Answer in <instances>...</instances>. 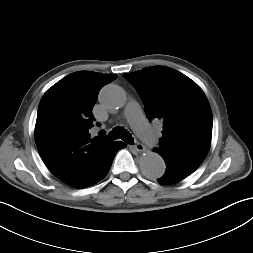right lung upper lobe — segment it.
<instances>
[{
    "instance_id": "right-lung-upper-lobe-1",
    "label": "right lung upper lobe",
    "mask_w": 253,
    "mask_h": 253,
    "mask_svg": "<svg viewBox=\"0 0 253 253\" xmlns=\"http://www.w3.org/2000/svg\"><path fill=\"white\" fill-rule=\"evenodd\" d=\"M116 78L78 71L58 81L40 101L34 133L38 151L51 173L72 187L91 186L101 175L102 156L111 142L103 131L90 138L92 109L99 90Z\"/></svg>"
}]
</instances>
